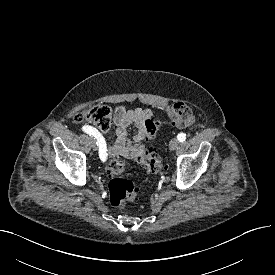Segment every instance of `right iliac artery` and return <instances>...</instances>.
<instances>
[{
	"label": "right iliac artery",
	"instance_id": "right-iliac-artery-1",
	"mask_svg": "<svg viewBox=\"0 0 275 275\" xmlns=\"http://www.w3.org/2000/svg\"><path fill=\"white\" fill-rule=\"evenodd\" d=\"M82 130L89 134L90 136H94L97 139V146L99 145V157L102 161L106 160V142L103 136L93 127L91 126H83Z\"/></svg>",
	"mask_w": 275,
	"mask_h": 275
}]
</instances>
